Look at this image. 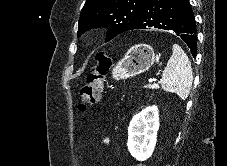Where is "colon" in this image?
Wrapping results in <instances>:
<instances>
[{"label":"colon","mask_w":227,"mask_h":166,"mask_svg":"<svg viewBox=\"0 0 227 166\" xmlns=\"http://www.w3.org/2000/svg\"><path fill=\"white\" fill-rule=\"evenodd\" d=\"M109 68V62L101 58L98 65L88 75L86 82L80 89V104L79 108L85 110L88 105L97 104L100 101L103 80Z\"/></svg>","instance_id":"obj_1"}]
</instances>
